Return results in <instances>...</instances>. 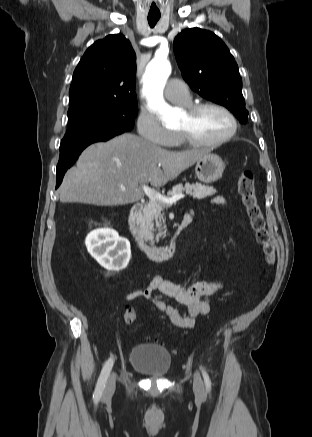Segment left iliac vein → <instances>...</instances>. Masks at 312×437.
Instances as JSON below:
<instances>
[{
    "label": "left iliac vein",
    "instance_id": "1",
    "mask_svg": "<svg viewBox=\"0 0 312 437\" xmlns=\"http://www.w3.org/2000/svg\"><path fill=\"white\" fill-rule=\"evenodd\" d=\"M193 390H194L195 394L199 397H203L205 394L203 383L197 374L194 375Z\"/></svg>",
    "mask_w": 312,
    "mask_h": 437
}]
</instances>
